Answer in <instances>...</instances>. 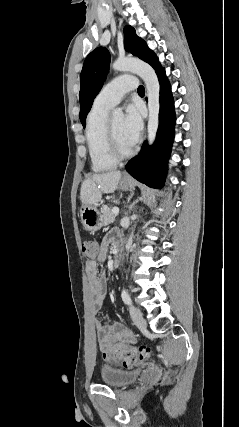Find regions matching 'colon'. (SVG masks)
I'll list each match as a JSON object with an SVG mask.
<instances>
[{
	"label": "colon",
	"instance_id": "colon-1",
	"mask_svg": "<svg viewBox=\"0 0 239 427\" xmlns=\"http://www.w3.org/2000/svg\"><path fill=\"white\" fill-rule=\"evenodd\" d=\"M82 252L87 262L93 261L98 254V243L95 240H87L82 244ZM114 357L126 367H133L147 361L152 351L149 347L141 345L131 347L125 344H116L113 348Z\"/></svg>",
	"mask_w": 239,
	"mask_h": 427
}]
</instances>
